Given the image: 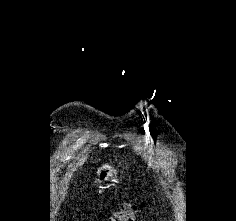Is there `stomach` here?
I'll list each match as a JSON object with an SVG mask.
<instances>
[{
  "label": "stomach",
  "instance_id": "stomach-1",
  "mask_svg": "<svg viewBox=\"0 0 236 221\" xmlns=\"http://www.w3.org/2000/svg\"><path fill=\"white\" fill-rule=\"evenodd\" d=\"M116 173L117 171L111 163H105L98 168L95 176V182L104 183L109 181Z\"/></svg>",
  "mask_w": 236,
  "mask_h": 221
}]
</instances>
